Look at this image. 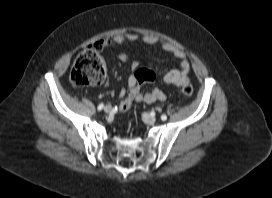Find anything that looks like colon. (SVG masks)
<instances>
[{"mask_svg":"<svg viewBox=\"0 0 272 198\" xmlns=\"http://www.w3.org/2000/svg\"><path fill=\"white\" fill-rule=\"evenodd\" d=\"M106 65L100 54L93 49L83 50L76 57L70 72V79L76 86H88L100 83L105 75ZM155 73L152 70H139V76L151 77ZM193 93L191 86L187 85L180 89L184 98H189Z\"/></svg>","mask_w":272,"mask_h":198,"instance_id":"obj_1","label":"colon"}]
</instances>
